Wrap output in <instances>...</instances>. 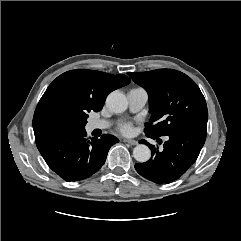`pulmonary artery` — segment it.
<instances>
[{
	"label": "pulmonary artery",
	"mask_w": 241,
	"mask_h": 241,
	"mask_svg": "<svg viewBox=\"0 0 241 241\" xmlns=\"http://www.w3.org/2000/svg\"><path fill=\"white\" fill-rule=\"evenodd\" d=\"M129 109L131 112L140 111L148 101V93L143 88H132L127 93ZM111 125L108 120H91L88 124L90 130L106 129Z\"/></svg>",
	"instance_id": "obj_1"
}]
</instances>
